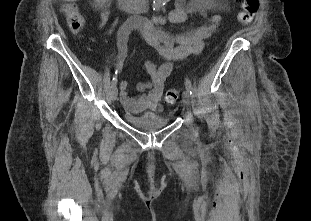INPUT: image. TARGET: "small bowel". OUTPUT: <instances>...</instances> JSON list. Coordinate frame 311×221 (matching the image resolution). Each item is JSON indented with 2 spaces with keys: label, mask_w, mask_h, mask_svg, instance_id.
<instances>
[{
  "label": "small bowel",
  "mask_w": 311,
  "mask_h": 221,
  "mask_svg": "<svg viewBox=\"0 0 311 221\" xmlns=\"http://www.w3.org/2000/svg\"><path fill=\"white\" fill-rule=\"evenodd\" d=\"M104 2L106 4L100 14V28L105 26L109 18L110 4L112 1L104 0ZM192 12L199 13L205 20V23L175 36L155 28L159 23H187ZM146 21H148L147 26L137 29L140 30L143 39L154 47L165 61L159 65L150 61L144 63V69L149 75L150 80L138 83L137 89L142 93L138 97L129 96L127 92V81L123 80L119 83L122 103L135 114L141 113L144 110L157 111L161 109L160 102L164 84L173 71L174 62L200 54L204 49V39L216 30L221 22V17L219 15L207 17L206 13L194 3L187 0H177L173 10ZM133 29L135 28L129 23L119 32L117 40L119 64L125 61L127 55V38Z\"/></svg>",
  "instance_id": "1"
}]
</instances>
